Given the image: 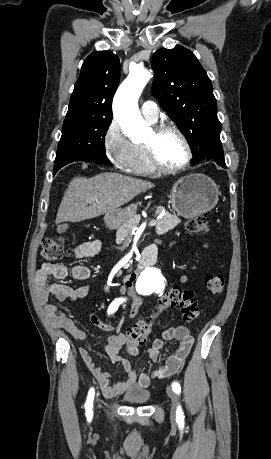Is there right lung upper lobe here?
<instances>
[{"mask_svg": "<svg viewBox=\"0 0 271 459\" xmlns=\"http://www.w3.org/2000/svg\"><path fill=\"white\" fill-rule=\"evenodd\" d=\"M120 78L119 57L110 51L91 53L84 61L67 115L112 116V99Z\"/></svg>", "mask_w": 271, "mask_h": 459, "instance_id": "right-lung-upper-lobe-1", "label": "right lung upper lobe"}]
</instances>
